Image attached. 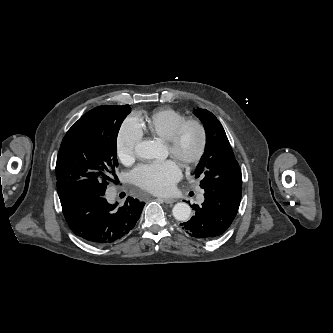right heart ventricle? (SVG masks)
<instances>
[{"label":"right heart ventricle","mask_w":333,"mask_h":333,"mask_svg":"<svg viewBox=\"0 0 333 333\" xmlns=\"http://www.w3.org/2000/svg\"><path fill=\"white\" fill-rule=\"evenodd\" d=\"M184 120L186 116L173 109H161L154 111L149 117L140 125L142 131L158 136L163 140H168L174 129Z\"/></svg>","instance_id":"obj_1"}]
</instances>
